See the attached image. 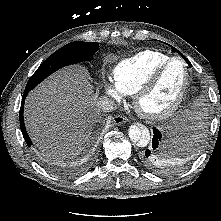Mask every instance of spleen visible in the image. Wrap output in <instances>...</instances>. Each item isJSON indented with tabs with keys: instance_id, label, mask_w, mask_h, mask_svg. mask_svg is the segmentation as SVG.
Instances as JSON below:
<instances>
[{
	"instance_id": "spleen-1",
	"label": "spleen",
	"mask_w": 221,
	"mask_h": 221,
	"mask_svg": "<svg viewBox=\"0 0 221 221\" xmlns=\"http://www.w3.org/2000/svg\"><path fill=\"white\" fill-rule=\"evenodd\" d=\"M181 141V136H176V137H174L173 139H172V142L174 143V144H177V143H179Z\"/></svg>"
}]
</instances>
